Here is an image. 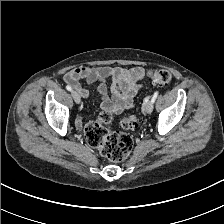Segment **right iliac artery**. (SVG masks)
<instances>
[{
    "mask_svg": "<svg viewBox=\"0 0 224 224\" xmlns=\"http://www.w3.org/2000/svg\"><path fill=\"white\" fill-rule=\"evenodd\" d=\"M66 89H67L68 91H72V87L69 86V85L66 86Z\"/></svg>",
    "mask_w": 224,
    "mask_h": 224,
    "instance_id": "right-iliac-artery-1",
    "label": "right iliac artery"
}]
</instances>
